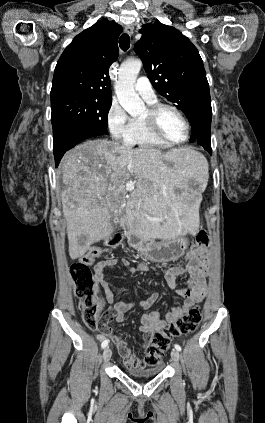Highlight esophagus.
I'll use <instances>...</instances> for the list:
<instances>
[{"instance_id": "1", "label": "esophagus", "mask_w": 265, "mask_h": 423, "mask_svg": "<svg viewBox=\"0 0 265 423\" xmlns=\"http://www.w3.org/2000/svg\"><path fill=\"white\" fill-rule=\"evenodd\" d=\"M124 31L126 34L131 36L133 34V27L131 25H126L124 27Z\"/></svg>"}]
</instances>
